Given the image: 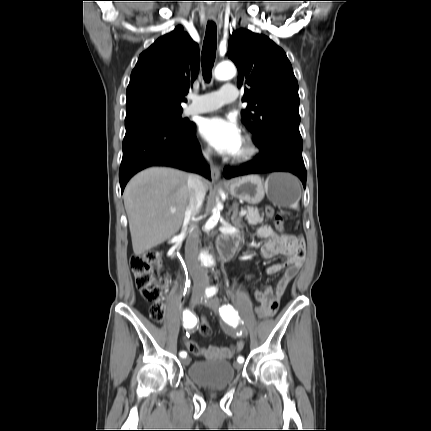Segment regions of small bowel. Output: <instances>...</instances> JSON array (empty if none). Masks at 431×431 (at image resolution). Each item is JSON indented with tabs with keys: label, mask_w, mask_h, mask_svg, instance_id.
I'll return each mask as SVG.
<instances>
[{
	"label": "small bowel",
	"mask_w": 431,
	"mask_h": 431,
	"mask_svg": "<svg viewBox=\"0 0 431 431\" xmlns=\"http://www.w3.org/2000/svg\"><path fill=\"white\" fill-rule=\"evenodd\" d=\"M257 236L267 239L262 248V256L266 259L274 258L278 255L285 257L282 263L271 265L267 268L268 274H276L283 271L282 276L274 287L265 285L260 290L253 292V297L258 302L261 318L273 315L279 306L280 300L291 280L296 276L305 259V247L300 237L279 234L269 225H263L257 230ZM248 280L253 276L248 275ZM204 312V310H199ZM236 345L230 347L208 346L199 347L202 349V356L205 359H229L235 353Z\"/></svg>",
	"instance_id": "1"
}]
</instances>
